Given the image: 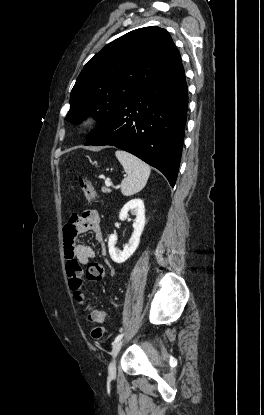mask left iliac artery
I'll return each mask as SVG.
<instances>
[{"label": "left iliac artery", "instance_id": "left-iliac-artery-1", "mask_svg": "<svg viewBox=\"0 0 264 415\" xmlns=\"http://www.w3.org/2000/svg\"><path fill=\"white\" fill-rule=\"evenodd\" d=\"M123 335H124V333L119 334V335L115 338L114 343H116L117 341H119V340L123 337Z\"/></svg>", "mask_w": 264, "mask_h": 415}]
</instances>
